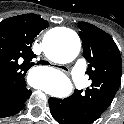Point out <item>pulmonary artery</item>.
I'll return each mask as SVG.
<instances>
[{"label": "pulmonary artery", "instance_id": "obj_1", "mask_svg": "<svg viewBox=\"0 0 124 124\" xmlns=\"http://www.w3.org/2000/svg\"><path fill=\"white\" fill-rule=\"evenodd\" d=\"M85 70L86 62L83 59L78 60L72 68V79L76 89L78 90L85 87Z\"/></svg>", "mask_w": 124, "mask_h": 124}]
</instances>
